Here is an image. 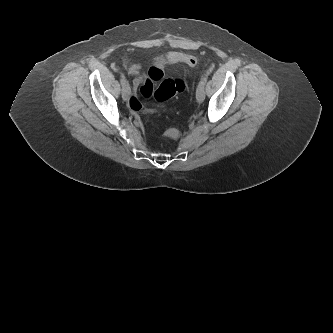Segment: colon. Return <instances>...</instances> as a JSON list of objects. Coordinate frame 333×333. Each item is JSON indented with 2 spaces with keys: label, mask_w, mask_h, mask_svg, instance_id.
I'll return each mask as SVG.
<instances>
[{
  "label": "colon",
  "mask_w": 333,
  "mask_h": 333,
  "mask_svg": "<svg viewBox=\"0 0 333 333\" xmlns=\"http://www.w3.org/2000/svg\"><path fill=\"white\" fill-rule=\"evenodd\" d=\"M154 82L155 81L147 79L140 88V91L147 94V97H153L158 102H165L173 98L176 94L185 91L187 88V83L182 79L165 78L155 90L153 88ZM129 107L134 111L142 109V105L139 104L134 97L131 98ZM147 112L153 113L154 110H148ZM165 135L169 138L176 139L180 136V131L171 128L165 132Z\"/></svg>",
  "instance_id": "1"
}]
</instances>
